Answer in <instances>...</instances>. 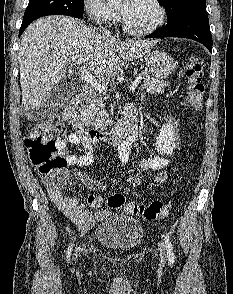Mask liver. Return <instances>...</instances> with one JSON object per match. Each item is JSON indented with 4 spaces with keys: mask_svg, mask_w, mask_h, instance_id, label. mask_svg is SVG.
Instances as JSON below:
<instances>
[{
    "mask_svg": "<svg viewBox=\"0 0 233 294\" xmlns=\"http://www.w3.org/2000/svg\"><path fill=\"white\" fill-rule=\"evenodd\" d=\"M157 42L117 41L71 17L38 19L26 28L19 47L24 110L39 107L66 77L69 65L86 63L96 78L109 79L124 61L145 56Z\"/></svg>",
    "mask_w": 233,
    "mask_h": 294,
    "instance_id": "obj_1",
    "label": "liver"
}]
</instances>
